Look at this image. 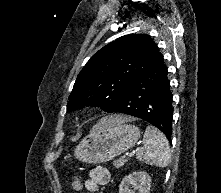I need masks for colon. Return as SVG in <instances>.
<instances>
[{"label":"colon","instance_id":"5ec220e1","mask_svg":"<svg viewBox=\"0 0 221 193\" xmlns=\"http://www.w3.org/2000/svg\"><path fill=\"white\" fill-rule=\"evenodd\" d=\"M72 188L75 192H79L82 189V181L79 177H76L72 183Z\"/></svg>","mask_w":221,"mask_h":193}]
</instances>
